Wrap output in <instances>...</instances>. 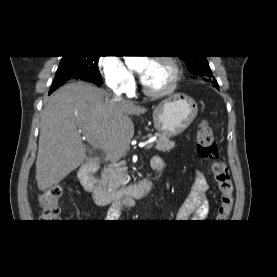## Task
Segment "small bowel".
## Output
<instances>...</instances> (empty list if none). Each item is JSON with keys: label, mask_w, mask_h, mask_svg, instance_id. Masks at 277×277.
<instances>
[{"label": "small bowel", "mask_w": 277, "mask_h": 277, "mask_svg": "<svg viewBox=\"0 0 277 277\" xmlns=\"http://www.w3.org/2000/svg\"><path fill=\"white\" fill-rule=\"evenodd\" d=\"M151 167L157 172L164 170V162L160 157H154L151 161ZM209 189L208 182L203 173L197 172L192 190L187 199L177 213L178 220H202L209 211V203L207 200V191ZM120 214L119 208L110 211L109 218L114 219Z\"/></svg>", "instance_id": "small-bowel-1"}]
</instances>
